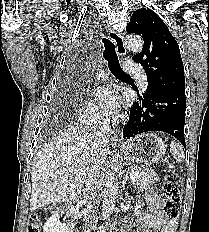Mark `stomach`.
<instances>
[{
    "label": "stomach",
    "mask_w": 209,
    "mask_h": 232,
    "mask_svg": "<svg viewBox=\"0 0 209 232\" xmlns=\"http://www.w3.org/2000/svg\"><path fill=\"white\" fill-rule=\"evenodd\" d=\"M164 141L154 133H143L125 143L124 156L130 161L144 164L157 163L166 152Z\"/></svg>",
    "instance_id": "obj_1"
}]
</instances>
